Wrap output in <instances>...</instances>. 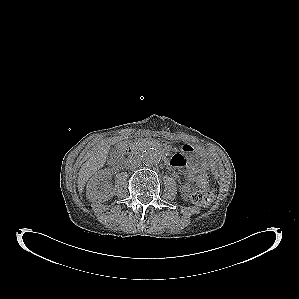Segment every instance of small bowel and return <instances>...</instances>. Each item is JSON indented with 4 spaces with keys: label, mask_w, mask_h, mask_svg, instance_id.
Masks as SVG:
<instances>
[{
    "label": "small bowel",
    "mask_w": 299,
    "mask_h": 299,
    "mask_svg": "<svg viewBox=\"0 0 299 299\" xmlns=\"http://www.w3.org/2000/svg\"><path fill=\"white\" fill-rule=\"evenodd\" d=\"M169 164H170V166H172L174 168L181 169L188 182H191L193 180V177H194L193 172L189 168L186 167V161L182 155H180V154L174 155L170 159Z\"/></svg>",
    "instance_id": "c3829d8e"
}]
</instances>
